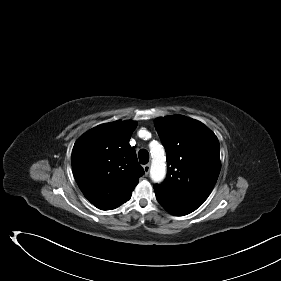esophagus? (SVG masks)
Listing matches in <instances>:
<instances>
[{"mask_svg":"<svg viewBox=\"0 0 281 281\" xmlns=\"http://www.w3.org/2000/svg\"><path fill=\"white\" fill-rule=\"evenodd\" d=\"M145 175H148L149 171H150V164H146L143 166Z\"/></svg>","mask_w":281,"mask_h":281,"instance_id":"1","label":"esophagus"}]
</instances>
